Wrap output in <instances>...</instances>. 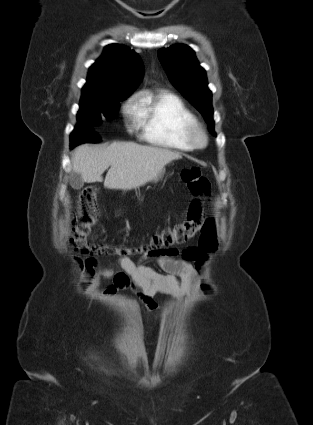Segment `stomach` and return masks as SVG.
Listing matches in <instances>:
<instances>
[{
	"label": "stomach",
	"mask_w": 313,
	"mask_h": 425,
	"mask_svg": "<svg viewBox=\"0 0 313 425\" xmlns=\"http://www.w3.org/2000/svg\"><path fill=\"white\" fill-rule=\"evenodd\" d=\"M164 170L163 171H161L160 173H158L153 179H152V181L154 182V183H157L162 177H163V174H164Z\"/></svg>",
	"instance_id": "stomach-1"
}]
</instances>
